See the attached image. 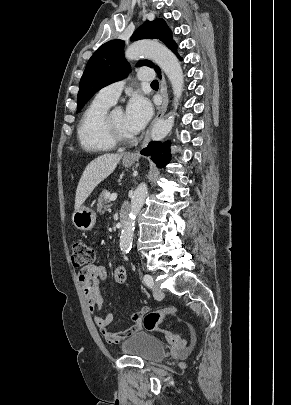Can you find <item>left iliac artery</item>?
Segmentation results:
<instances>
[{
	"label": "left iliac artery",
	"mask_w": 291,
	"mask_h": 405,
	"mask_svg": "<svg viewBox=\"0 0 291 405\" xmlns=\"http://www.w3.org/2000/svg\"><path fill=\"white\" fill-rule=\"evenodd\" d=\"M143 281H144V283H145L148 287H152L153 284H154L153 278H152V276L149 275V274L144 275Z\"/></svg>",
	"instance_id": "1"
}]
</instances>
